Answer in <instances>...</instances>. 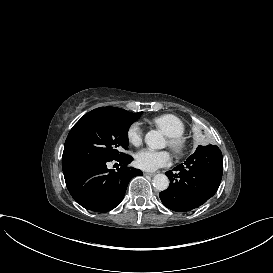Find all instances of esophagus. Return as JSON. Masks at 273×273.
I'll use <instances>...</instances> for the list:
<instances>
[{
  "label": "esophagus",
  "mask_w": 273,
  "mask_h": 273,
  "mask_svg": "<svg viewBox=\"0 0 273 273\" xmlns=\"http://www.w3.org/2000/svg\"><path fill=\"white\" fill-rule=\"evenodd\" d=\"M156 173H151V172H144V175H147V176H154Z\"/></svg>",
  "instance_id": "obj_1"
}]
</instances>
